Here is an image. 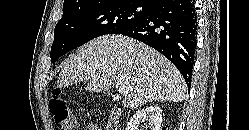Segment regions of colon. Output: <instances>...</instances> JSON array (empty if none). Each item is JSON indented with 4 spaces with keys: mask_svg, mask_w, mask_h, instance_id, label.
<instances>
[{
    "mask_svg": "<svg viewBox=\"0 0 249 130\" xmlns=\"http://www.w3.org/2000/svg\"><path fill=\"white\" fill-rule=\"evenodd\" d=\"M50 111L59 130H75L78 126L77 121L70 108L60 98V90L53 92L50 101Z\"/></svg>",
    "mask_w": 249,
    "mask_h": 130,
    "instance_id": "1",
    "label": "colon"
}]
</instances>
